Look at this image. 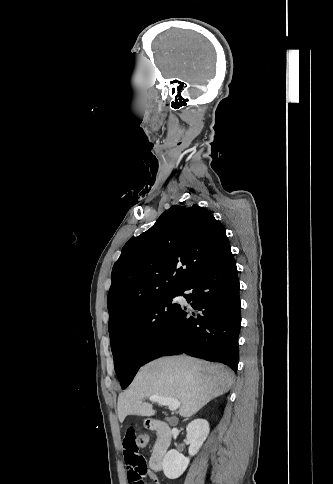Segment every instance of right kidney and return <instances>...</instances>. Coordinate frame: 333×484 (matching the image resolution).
I'll return each instance as SVG.
<instances>
[{
	"instance_id": "ca27d5eb",
	"label": "right kidney",
	"mask_w": 333,
	"mask_h": 484,
	"mask_svg": "<svg viewBox=\"0 0 333 484\" xmlns=\"http://www.w3.org/2000/svg\"><path fill=\"white\" fill-rule=\"evenodd\" d=\"M186 431V437L190 444L188 452L190 456H194L208 437L209 423L204 419H195L187 425ZM189 461L188 457H184L178 451L171 449L163 458L162 466L165 476L169 479L180 477L188 467Z\"/></svg>"
}]
</instances>
